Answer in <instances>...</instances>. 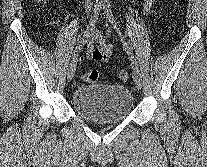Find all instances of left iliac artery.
<instances>
[{
  "label": "left iliac artery",
  "instance_id": "44dca946",
  "mask_svg": "<svg viewBox=\"0 0 207 167\" xmlns=\"http://www.w3.org/2000/svg\"><path fill=\"white\" fill-rule=\"evenodd\" d=\"M103 9H104V12L106 14L108 21L111 23V25L114 27V29L119 33V36L121 37V41L123 43V47L126 50L129 58L131 59L132 63L137 67V61H136L135 56L132 52V49L129 46V44L125 41V39L122 37V34H121V32L117 26V23L113 17L110 5L107 0L103 2Z\"/></svg>",
  "mask_w": 207,
  "mask_h": 167
}]
</instances>
